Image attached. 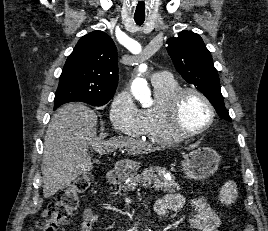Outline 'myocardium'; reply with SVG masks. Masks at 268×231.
Masks as SVG:
<instances>
[{
  "instance_id": "1",
  "label": "myocardium",
  "mask_w": 268,
  "mask_h": 231,
  "mask_svg": "<svg viewBox=\"0 0 268 231\" xmlns=\"http://www.w3.org/2000/svg\"><path fill=\"white\" fill-rule=\"evenodd\" d=\"M187 94H194L198 96L207 105L210 113V118L207 123L193 131H184L180 128V105ZM167 119L169 129L175 137L179 139L191 138L204 133L212 126L215 120V108L210 99L202 91L193 87H184L177 90L170 98L168 103Z\"/></svg>"
}]
</instances>
